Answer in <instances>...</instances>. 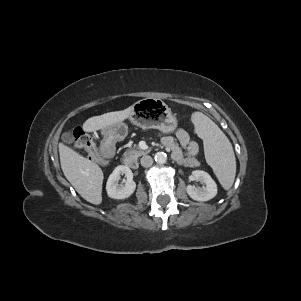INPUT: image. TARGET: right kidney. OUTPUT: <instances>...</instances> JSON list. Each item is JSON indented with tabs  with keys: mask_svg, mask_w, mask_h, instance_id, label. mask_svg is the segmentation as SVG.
I'll use <instances>...</instances> for the list:
<instances>
[{
	"mask_svg": "<svg viewBox=\"0 0 301 301\" xmlns=\"http://www.w3.org/2000/svg\"><path fill=\"white\" fill-rule=\"evenodd\" d=\"M125 175V184L119 185L120 175ZM136 189V183L133 181V173L128 166H117L110 174L106 190L110 198L125 199L130 197Z\"/></svg>",
	"mask_w": 301,
	"mask_h": 301,
	"instance_id": "1",
	"label": "right kidney"
}]
</instances>
